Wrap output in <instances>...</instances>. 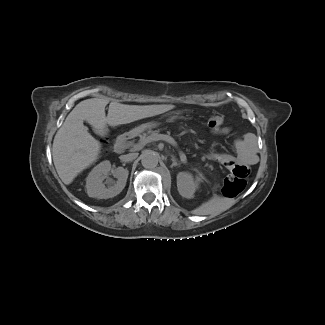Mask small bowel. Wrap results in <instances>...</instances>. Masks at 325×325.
Masks as SVG:
<instances>
[{
    "label": "small bowel",
    "instance_id": "c3829d8e",
    "mask_svg": "<svg viewBox=\"0 0 325 325\" xmlns=\"http://www.w3.org/2000/svg\"><path fill=\"white\" fill-rule=\"evenodd\" d=\"M210 132L214 135H227L231 132V129L230 127H223L221 130H218L210 127ZM235 154L240 161L246 163L251 162L253 158V156L250 153H248L244 145L241 143L235 146ZM219 161L223 164H228L230 163L231 158L228 156H223L219 158Z\"/></svg>",
    "mask_w": 325,
    "mask_h": 325
}]
</instances>
